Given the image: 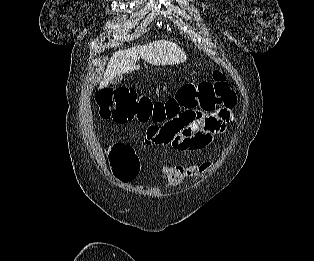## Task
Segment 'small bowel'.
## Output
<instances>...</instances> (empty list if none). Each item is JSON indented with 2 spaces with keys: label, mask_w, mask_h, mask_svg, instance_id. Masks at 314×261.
Returning <instances> with one entry per match:
<instances>
[{
  "label": "small bowel",
  "mask_w": 314,
  "mask_h": 261,
  "mask_svg": "<svg viewBox=\"0 0 314 261\" xmlns=\"http://www.w3.org/2000/svg\"><path fill=\"white\" fill-rule=\"evenodd\" d=\"M235 97L228 104L219 105L212 111L207 109H182V113L163 120L160 126L147 129L144 140L156 148H170L172 151H196L207 148L216 136L226 132L232 121L231 109ZM211 163L161 165L160 171L171 186H178L187 178L199 177L208 172Z\"/></svg>",
  "instance_id": "c3829d8e"
}]
</instances>
